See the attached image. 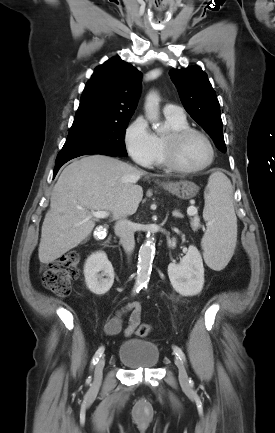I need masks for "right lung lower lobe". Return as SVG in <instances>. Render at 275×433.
Instances as JSON below:
<instances>
[{"label":"right lung lower lobe","mask_w":275,"mask_h":433,"mask_svg":"<svg viewBox=\"0 0 275 433\" xmlns=\"http://www.w3.org/2000/svg\"><path fill=\"white\" fill-rule=\"evenodd\" d=\"M102 155H108V156H114V155H110V154H102ZM115 157V156H114ZM71 159L68 160H64V161H60L55 163V169H54V173H53V177H55V175L57 174L58 170L60 169V167L65 164L67 161H69Z\"/></svg>","instance_id":"98d812e1"}]
</instances>
